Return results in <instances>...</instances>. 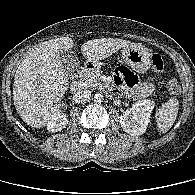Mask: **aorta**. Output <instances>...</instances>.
Wrapping results in <instances>:
<instances>
[{"instance_id": "aorta-1", "label": "aorta", "mask_w": 195, "mask_h": 195, "mask_svg": "<svg viewBox=\"0 0 195 195\" xmlns=\"http://www.w3.org/2000/svg\"><path fill=\"white\" fill-rule=\"evenodd\" d=\"M104 96H103V94L102 93H96L95 95H94V101L96 102V103H101L102 101H103V98Z\"/></svg>"}]
</instances>
